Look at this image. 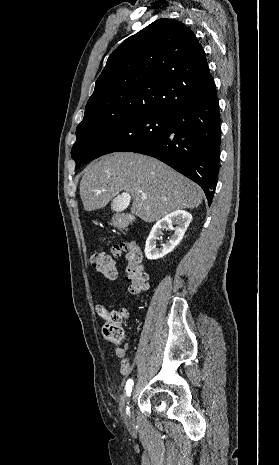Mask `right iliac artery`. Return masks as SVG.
Returning <instances> with one entry per match:
<instances>
[{"label": "right iliac artery", "mask_w": 279, "mask_h": 465, "mask_svg": "<svg viewBox=\"0 0 279 465\" xmlns=\"http://www.w3.org/2000/svg\"><path fill=\"white\" fill-rule=\"evenodd\" d=\"M132 386H133V380L129 379L125 387L127 396H130L131 391H132ZM127 413H129V408H127Z\"/></svg>", "instance_id": "right-iliac-artery-1"}]
</instances>
